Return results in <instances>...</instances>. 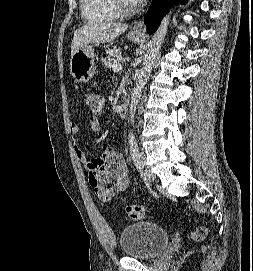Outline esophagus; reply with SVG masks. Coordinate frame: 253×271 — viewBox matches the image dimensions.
<instances>
[{
  "mask_svg": "<svg viewBox=\"0 0 253 271\" xmlns=\"http://www.w3.org/2000/svg\"><path fill=\"white\" fill-rule=\"evenodd\" d=\"M133 31L139 34H145L146 27L143 20L137 21L133 26Z\"/></svg>",
  "mask_w": 253,
  "mask_h": 271,
  "instance_id": "obj_1",
  "label": "esophagus"
}]
</instances>
